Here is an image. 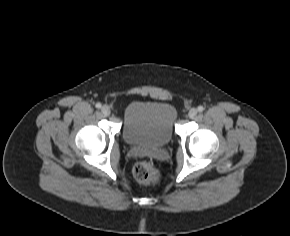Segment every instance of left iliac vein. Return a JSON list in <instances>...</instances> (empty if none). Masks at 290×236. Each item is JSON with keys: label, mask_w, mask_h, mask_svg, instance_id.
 I'll return each instance as SVG.
<instances>
[{"label": "left iliac vein", "mask_w": 290, "mask_h": 236, "mask_svg": "<svg viewBox=\"0 0 290 236\" xmlns=\"http://www.w3.org/2000/svg\"><path fill=\"white\" fill-rule=\"evenodd\" d=\"M198 113V110L196 108H191L188 112V116L190 118H194Z\"/></svg>", "instance_id": "left-iliac-vein-1"}]
</instances>
